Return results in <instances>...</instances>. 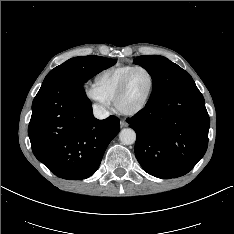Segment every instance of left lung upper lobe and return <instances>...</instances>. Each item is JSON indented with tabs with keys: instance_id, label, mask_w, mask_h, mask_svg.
Wrapping results in <instances>:
<instances>
[{
	"instance_id": "obj_1",
	"label": "left lung upper lobe",
	"mask_w": 234,
	"mask_h": 234,
	"mask_svg": "<svg viewBox=\"0 0 234 234\" xmlns=\"http://www.w3.org/2000/svg\"><path fill=\"white\" fill-rule=\"evenodd\" d=\"M133 62L145 68L152 77L153 89L147 103L153 102L177 85L193 80L185 70L163 56L143 55Z\"/></svg>"
}]
</instances>
